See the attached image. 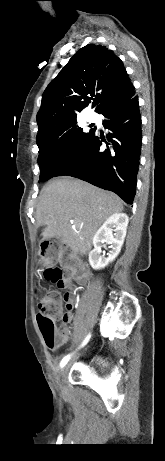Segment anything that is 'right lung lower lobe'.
<instances>
[{
	"label": "right lung lower lobe",
	"mask_w": 165,
	"mask_h": 461,
	"mask_svg": "<svg viewBox=\"0 0 165 461\" xmlns=\"http://www.w3.org/2000/svg\"><path fill=\"white\" fill-rule=\"evenodd\" d=\"M107 135V148L100 149L103 138L93 131L76 156L56 176H72L97 187L110 190L132 204L141 154L142 133L138 97L102 113Z\"/></svg>",
	"instance_id": "right-lung-lower-lobe-1"
}]
</instances>
